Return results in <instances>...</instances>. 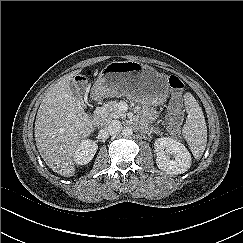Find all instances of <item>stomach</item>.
<instances>
[{
  "mask_svg": "<svg viewBox=\"0 0 243 243\" xmlns=\"http://www.w3.org/2000/svg\"><path fill=\"white\" fill-rule=\"evenodd\" d=\"M99 97H121L146 104L162 103L169 93L165 75L138 61H113L99 73L94 86Z\"/></svg>",
  "mask_w": 243,
  "mask_h": 243,
  "instance_id": "obj_1",
  "label": "stomach"
}]
</instances>
